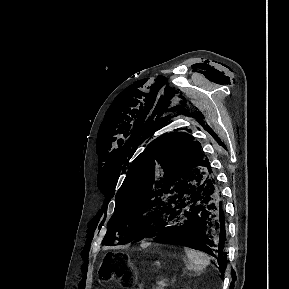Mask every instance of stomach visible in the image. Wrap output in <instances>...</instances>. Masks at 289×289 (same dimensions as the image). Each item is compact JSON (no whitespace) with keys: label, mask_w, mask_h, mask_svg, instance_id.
<instances>
[{"label":"stomach","mask_w":289,"mask_h":289,"mask_svg":"<svg viewBox=\"0 0 289 289\" xmlns=\"http://www.w3.org/2000/svg\"><path fill=\"white\" fill-rule=\"evenodd\" d=\"M156 265H157V266H160V262H159V261H157V262H156Z\"/></svg>","instance_id":"stomach-1"}]
</instances>
